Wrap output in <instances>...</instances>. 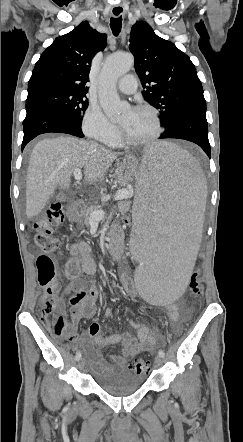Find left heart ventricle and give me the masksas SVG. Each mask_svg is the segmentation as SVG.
<instances>
[{
    "label": "left heart ventricle",
    "instance_id": "1",
    "mask_svg": "<svg viewBox=\"0 0 243 442\" xmlns=\"http://www.w3.org/2000/svg\"><path fill=\"white\" fill-rule=\"evenodd\" d=\"M126 136L132 140L148 138L156 131L155 119L149 111H127L119 122Z\"/></svg>",
    "mask_w": 243,
    "mask_h": 442
}]
</instances>
